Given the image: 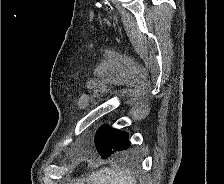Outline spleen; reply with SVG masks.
<instances>
[{"mask_svg": "<svg viewBox=\"0 0 224 184\" xmlns=\"http://www.w3.org/2000/svg\"><path fill=\"white\" fill-rule=\"evenodd\" d=\"M87 181L89 184H136L135 178L129 172H119L107 167L93 172Z\"/></svg>", "mask_w": 224, "mask_h": 184, "instance_id": "1", "label": "spleen"}]
</instances>
